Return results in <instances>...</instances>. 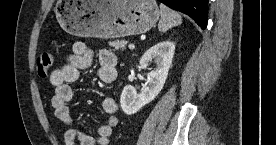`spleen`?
Instances as JSON below:
<instances>
[{"label":"spleen","mask_w":276,"mask_h":145,"mask_svg":"<svg viewBox=\"0 0 276 145\" xmlns=\"http://www.w3.org/2000/svg\"><path fill=\"white\" fill-rule=\"evenodd\" d=\"M160 15L161 19L158 24V29L162 33L182 23L181 16L164 4H160Z\"/></svg>","instance_id":"3e777b00"}]
</instances>
